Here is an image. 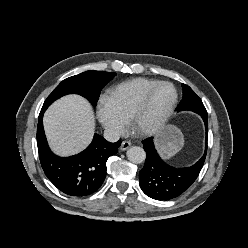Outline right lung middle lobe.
<instances>
[{
    "mask_svg": "<svg viewBox=\"0 0 248 248\" xmlns=\"http://www.w3.org/2000/svg\"><path fill=\"white\" fill-rule=\"evenodd\" d=\"M116 75L113 72L86 71L63 80L45 100L43 107L67 94H79L96 105L102 88Z\"/></svg>",
    "mask_w": 248,
    "mask_h": 248,
    "instance_id": "dd1d6c3e",
    "label": "right lung middle lobe"
}]
</instances>
